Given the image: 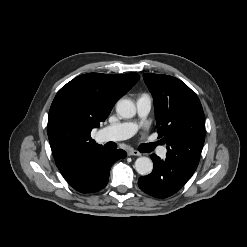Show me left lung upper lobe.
I'll use <instances>...</instances> for the list:
<instances>
[{
    "label": "left lung upper lobe",
    "mask_w": 247,
    "mask_h": 247,
    "mask_svg": "<svg viewBox=\"0 0 247 247\" xmlns=\"http://www.w3.org/2000/svg\"><path fill=\"white\" fill-rule=\"evenodd\" d=\"M143 77L154 98L158 136L167 144L166 155L196 170L205 140V117L199 98L175 77Z\"/></svg>",
    "instance_id": "left-lung-upper-lobe-1"
}]
</instances>
